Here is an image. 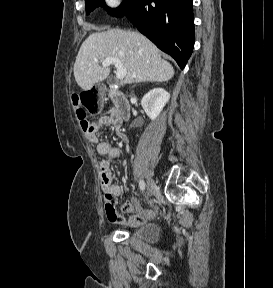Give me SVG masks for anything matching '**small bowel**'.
<instances>
[{
	"instance_id": "obj_1",
	"label": "small bowel",
	"mask_w": 273,
	"mask_h": 288,
	"mask_svg": "<svg viewBox=\"0 0 273 288\" xmlns=\"http://www.w3.org/2000/svg\"><path fill=\"white\" fill-rule=\"evenodd\" d=\"M112 126L117 134L125 139V135L121 132L122 122L117 118L115 110L110 109L98 122L90 124L87 130H84L85 136L97 145V152L104 158L100 162V181L101 189L103 191L104 209L107 219L114 224H128L137 226L145 219L154 217L157 213L156 209L144 210L140 208L135 199L128 200L121 204V210L126 213H135L126 220L121 216L116 208L117 197L121 195L122 188L115 183L112 178L110 168V160L118 158L122 154V150L118 147L112 146L106 141L98 142L96 133L102 126Z\"/></svg>"
}]
</instances>
